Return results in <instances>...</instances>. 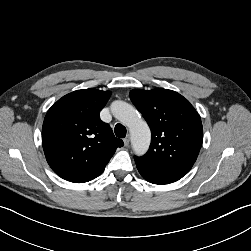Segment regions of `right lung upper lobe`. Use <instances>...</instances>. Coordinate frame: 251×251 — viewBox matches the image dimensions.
Wrapping results in <instances>:
<instances>
[{"label": "right lung upper lobe", "mask_w": 251, "mask_h": 251, "mask_svg": "<svg viewBox=\"0 0 251 251\" xmlns=\"http://www.w3.org/2000/svg\"><path fill=\"white\" fill-rule=\"evenodd\" d=\"M110 95V91L92 88L77 90L48 110L42 146L48 164L61 178L75 183L96 178L124 145L99 117Z\"/></svg>", "instance_id": "obj_1"}]
</instances>
